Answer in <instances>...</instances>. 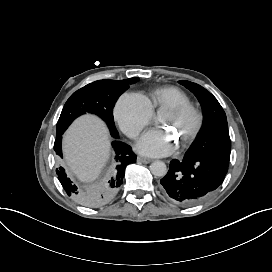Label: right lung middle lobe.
I'll return each instance as SVG.
<instances>
[{
    "mask_svg": "<svg viewBox=\"0 0 272 272\" xmlns=\"http://www.w3.org/2000/svg\"><path fill=\"white\" fill-rule=\"evenodd\" d=\"M138 78L98 80L77 90L67 100L57 123L56 134L63 133L72 121L85 113L96 114L108 125L112 136H118L114 125L113 107L119 95Z\"/></svg>",
    "mask_w": 272,
    "mask_h": 272,
    "instance_id": "right-lung-middle-lobe-1",
    "label": "right lung middle lobe"
}]
</instances>
